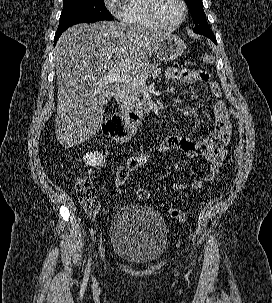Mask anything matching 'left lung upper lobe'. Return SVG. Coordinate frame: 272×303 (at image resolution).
<instances>
[{
    "instance_id": "1",
    "label": "left lung upper lobe",
    "mask_w": 272,
    "mask_h": 303,
    "mask_svg": "<svg viewBox=\"0 0 272 303\" xmlns=\"http://www.w3.org/2000/svg\"><path fill=\"white\" fill-rule=\"evenodd\" d=\"M185 2L195 23L194 32L202 35L213 34L206 20L202 0H185Z\"/></svg>"
}]
</instances>
